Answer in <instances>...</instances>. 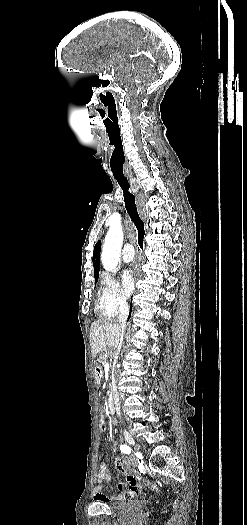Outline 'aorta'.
<instances>
[{
	"label": "aorta",
	"instance_id": "762f6f07",
	"mask_svg": "<svg viewBox=\"0 0 247 525\" xmlns=\"http://www.w3.org/2000/svg\"><path fill=\"white\" fill-rule=\"evenodd\" d=\"M122 243V227L120 225L111 226L105 237L101 253V261L105 270L112 272L117 268Z\"/></svg>",
	"mask_w": 247,
	"mask_h": 525
}]
</instances>
